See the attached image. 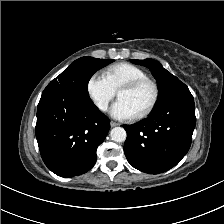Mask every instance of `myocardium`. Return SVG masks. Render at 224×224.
Segmentation results:
<instances>
[{
  "mask_svg": "<svg viewBox=\"0 0 224 224\" xmlns=\"http://www.w3.org/2000/svg\"><path fill=\"white\" fill-rule=\"evenodd\" d=\"M144 85H147L151 88L152 96L147 106L140 113L137 114V118H144L148 116L156 107L160 94L157 83L154 80L145 77L127 82L124 85H122L118 90V92L122 90L133 91Z\"/></svg>",
  "mask_w": 224,
  "mask_h": 224,
  "instance_id": "myocardium-1",
  "label": "myocardium"
}]
</instances>
